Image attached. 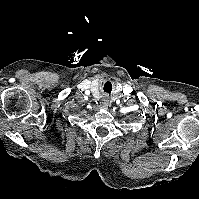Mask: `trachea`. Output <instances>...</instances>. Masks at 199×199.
I'll return each mask as SVG.
<instances>
[{
  "label": "trachea",
  "mask_w": 199,
  "mask_h": 199,
  "mask_svg": "<svg viewBox=\"0 0 199 199\" xmlns=\"http://www.w3.org/2000/svg\"><path fill=\"white\" fill-rule=\"evenodd\" d=\"M111 89H112L111 83L110 82H106L105 85H104V91L106 93L110 94Z\"/></svg>",
  "instance_id": "trachea-1"
}]
</instances>
